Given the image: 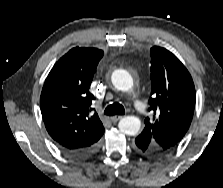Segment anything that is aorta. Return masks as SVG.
I'll return each instance as SVG.
<instances>
[{"mask_svg":"<svg viewBox=\"0 0 223 188\" xmlns=\"http://www.w3.org/2000/svg\"><path fill=\"white\" fill-rule=\"evenodd\" d=\"M112 84L120 91L130 92L133 88V78L126 70L118 69L112 73ZM141 127V121L136 116L123 117L119 123V130L128 135L134 136L138 133Z\"/></svg>","mask_w":223,"mask_h":188,"instance_id":"1","label":"aorta"}]
</instances>
